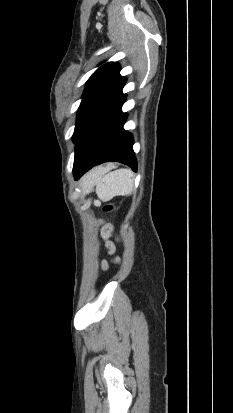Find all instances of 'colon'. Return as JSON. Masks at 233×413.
Segmentation results:
<instances>
[{"mask_svg": "<svg viewBox=\"0 0 233 413\" xmlns=\"http://www.w3.org/2000/svg\"><path fill=\"white\" fill-rule=\"evenodd\" d=\"M113 209H114V205H112V204H108V205H105V206L103 207V210H104L105 212L112 211Z\"/></svg>", "mask_w": 233, "mask_h": 413, "instance_id": "obj_1", "label": "colon"}]
</instances>
